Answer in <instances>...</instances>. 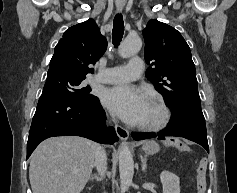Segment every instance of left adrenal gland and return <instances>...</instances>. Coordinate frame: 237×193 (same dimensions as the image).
I'll list each match as a JSON object with an SVG mask.
<instances>
[{
    "mask_svg": "<svg viewBox=\"0 0 237 193\" xmlns=\"http://www.w3.org/2000/svg\"><path fill=\"white\" fill-rule=\"evenodd\" d=\"M142 162V171L145 172L147 168V158L146 156H140Z\"/></svg>",
    "mask_w": 237,
    "mask_h": 193,
    "instance_id": "a2214340",
    "label": "left adrenal gland"
}]
</instances>
